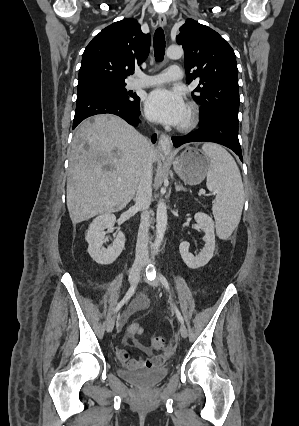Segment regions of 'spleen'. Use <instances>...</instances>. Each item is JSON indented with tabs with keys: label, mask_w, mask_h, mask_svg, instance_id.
Instances as JSON below:
<instances>
[{
	"label": "spleen",
	"mask_w": 299,
	"mask_h": 426,
	"mask_svg": "<svg viewBox=\"0 0 299 426\" xmlns=\"http://www.w3.org/2000/svg\"><path fill=\"white\" fill-rule=\"evenodd\" d=\"M202 150L210 159L206 185L216 194L212 211L217 234L226 239L241 219L244 204L242 178L235 160L223 147L206 143Z\"/></svg>",
	"instance_id": "1"
}]
</instances>
